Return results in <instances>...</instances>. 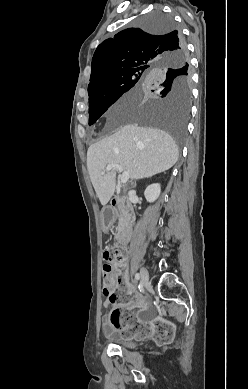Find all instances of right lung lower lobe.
<instances>
[{"instance_id":"98d812e1","label":"right lung lower lobe","mask_w":248,"mask_h":389,"mask_svg":"<svg viewBox=\"0 0 248 389\" xmlns=\"http://www.w3.org/2000/svg\"><path fill=\"white\" fill-rule=\"evenodd\" d=\"M181 45H183L182 36L179 37V45H178V47H181Z\"/></svg>"}]
</instances>
